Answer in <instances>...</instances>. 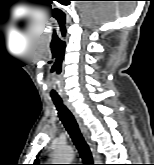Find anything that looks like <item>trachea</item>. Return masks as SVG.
<instances>
[{"label":"trachea","instance_id":"3493384b","mask_svg":"<svg viewBox=\"0 0 154 165\" xmlns=\"http://www.w3.org/2000/svg\"><path fill=\"white\" fill-rule=\"evenodd\" d=\"M53 102L58 110L60 120L62 121L73 143L78 149L82 160L84 161V165H93L91 151L80 132L79 126L73 114L68 110L66 106L63 105L60 98H53Z\"/></svg>","mask_w":154,"mask_h":165}]
</instances>
